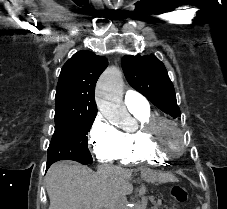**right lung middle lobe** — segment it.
Returning a JSON list of instances; mask_svg holds the SVG:
<instances>
[{"label": "right lung middle lobe", "mask_w": 227, "mask_h": 209, "mask_svg": "<svg viewBox=\"0 0 227 209\" xmlns=\"http://www.w3.org/2000/svg\"><path fill=\"white\" fill-rule=\"evenodd\" d=\"M96 114H55V132L48 148L47 168L59 160L91 164L87 133Z\"/></svg>", "instance_id": "dd1d6c3e"}]
</instances>
